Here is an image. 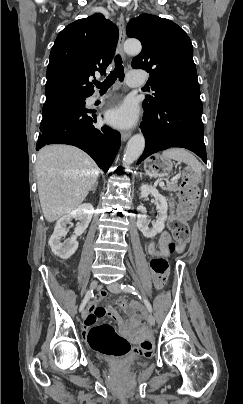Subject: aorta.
Masks as SVG:
<instances>
[{
    "label": "aorta",
    "mask_w": 243,
    "mask_h": 404,
    "mask_svg": "<svg viewBox=\"0 0 243 404\" xmlns=\"http://www.w3.org/2000/svg\"><path fill=\"white\" fill-rule=\"evenodd\" d=\"M123 50L125 54H129V56H137V54H140L142 50V46L139 42V40H126L123 44ZM145 148V138L142 136V134H135V136H132L130 138L125 154L123 156V162L125 164H133L135 160H138L140 158L143 150Z\"/></svg>",
    "instance_id": "1"
}]
</instances>
